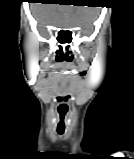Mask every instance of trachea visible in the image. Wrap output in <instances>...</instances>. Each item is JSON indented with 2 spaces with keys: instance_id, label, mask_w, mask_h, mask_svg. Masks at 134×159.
<instances>
[{
  "instance_id": "trachea-1",
  "label": "trachea",
  "mask_w": 134,
  "mask_h": 159,
  "mask_svg": "<svg viewBox=\"0 0 134 159\" xmlns=\"http://www.w3.org/2000/svg\"><path fill=\"white\" fill-rule=\"evenodd\" d=\"M58 134H59V135H62L63 133L59 132Z\"/></svg>"
}]
</instances>
